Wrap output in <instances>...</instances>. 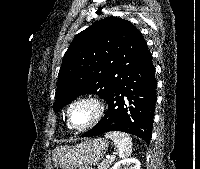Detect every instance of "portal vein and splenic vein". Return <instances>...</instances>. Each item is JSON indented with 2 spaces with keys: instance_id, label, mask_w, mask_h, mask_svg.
Returning <instances> with one entry per match:
<instances>
[{
  "instance_id": "1",
  "label": "portal vein and splenic vein",
  "mask_w": 200,
  "mask_h": 169,
  "mask_svg": "<svg viewBox=\"0 0 200 169\" xmlns=\"http://www.w3.org/2000/svg\"><path fill=\"white\" fill-rule=\"evenodd\" d=\"M107 159H114L115 156H106Z\"/></svg>"
}]
</instances>
